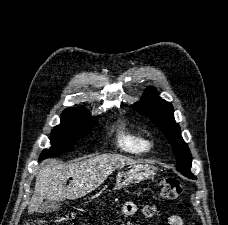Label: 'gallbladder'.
<instances>
[{
    "label": "gallbladder",
    "mask_w": 228,
    "mask_h": 225,
    "mask_svg": "<svg viewBox=\"0 0 228 225\" xmlns=\"http://www.w3.org/2000/svg\"><path fill=\"white\" fill-rule=\"evenodd\" d=\"M61 205V201H45L40 205L38 211L39 213H52V211H58Z\"/></svg>",
    "instance_id": "1"
}]
</instances>
